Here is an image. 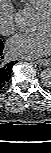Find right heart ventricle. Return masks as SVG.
Masks as SVG:
<instances>
[{"label":"right heart ventricle","mask_w":51,"mask_h":153,"mask_svg":"<svg viewBox=\"0 0 51 153\" xmlns=\"http://www.w3.org/2000/svg\"><path fill=\"white\" fill-rule=\"evenodd\" d=\"M35 10L41 12L51 6V0H26Z\"/></svg>","instance_id":"1"}]
</instances>
